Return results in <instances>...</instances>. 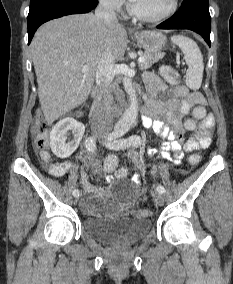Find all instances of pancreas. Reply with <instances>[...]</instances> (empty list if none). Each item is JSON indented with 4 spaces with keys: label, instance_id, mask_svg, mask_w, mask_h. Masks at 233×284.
Here are the masks:
<instances>
[{
    "label": "pancreas",
    "instance_id": "1",
    "mask_svg": "<svg viewBox=\"0 0 233 284\" xmlns=\"http://www.w3.org/2000/svg\"><path fill=\"white\" fill-rule=\"evenodd\" d=\"M164 55L165 54L162 52H158V53L145 52L143 55V57L145 58V61L143 63H139L140 69L141 70L149 69L153 63L162 59Z\"/></svg>",
    "mask_w": 233,
    "mask_h": 284
}]
</instances>
